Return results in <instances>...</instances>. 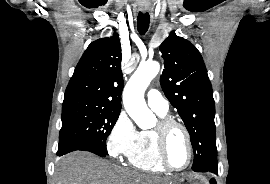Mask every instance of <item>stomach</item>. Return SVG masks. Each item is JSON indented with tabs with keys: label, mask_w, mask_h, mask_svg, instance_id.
I'll use <instances>...</instances> for the list:
<instances>
[{
	"label": "stomach",
	"mask_w": 270,
	"mask_h": 184,
	"mask_svg": "<svg viewBox=\"0 0 270 184\" xmlns=\"http://www.w3.org/2000/svg\"><path fill=\"white\" fill-rule=\"evenodd\" d=\"M170 184H209L208 181L198 174H186L178 177L173 183Z\"/></svg>",
	"instance_id": "1"
}]
</instances>
